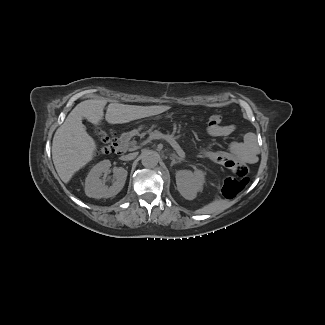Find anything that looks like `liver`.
Segmentation results:
<instances>
[{
  "label": "liver",
  "mask_w": 325,
  "mask_h": 325,
  "mask_svg": "<svg viewBox=\"0 0 325 325\" xmlns=\"http://www.w3.org/2000/svg\"><path fill=\"white\" fill-rule=\"evenodd\" d=\"M105 99L85 100L76 105L64 123L56 130L52 143V159L56 171L64 183L88 164L95 156L96 142L87 133L82 119L99 125L104 117ZM167 105L136 106L110 103L105 119L110 124H122L158 115L169 110Z\"/></svg>",
  "instance_id": "liver-1"
}]
</instances>
